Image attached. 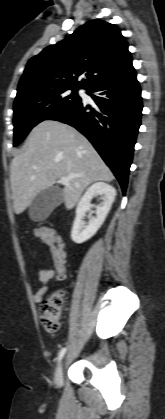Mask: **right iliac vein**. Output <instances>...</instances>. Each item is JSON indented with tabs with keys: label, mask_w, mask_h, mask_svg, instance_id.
Wrapping results in <instances>:
<instances>
[{
	"label": "right iliac vein",
	"mask_w": 165,
	"mask_h": 419,
	"mask_svg": "<svg viewBox=\"0 0 165 419\" xmlns=\"http://www.w3.org/2000/svg\"><path fill=\"white\" fill-rule=\"evenodd\" d=\"M62 376H63V362H60V364L57 367L56 376H55V381L58 386L61 385Z\"/></svg>",
	"instance_id": "1"
}]
</instances>
